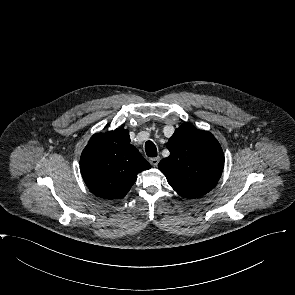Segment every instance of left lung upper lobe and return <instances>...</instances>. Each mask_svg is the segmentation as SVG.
Here are the masks:
<instances>
[{
    "label": "left lung upper lobe",
    "mask_w": 295,
    "mask_h": 295,
    "mask_svg": "<svg viewBox=\"0 0 295 295\" xmlns=\"http://www.w3.org/2000/svg\"><path fill=\"white\" fill-rule=\"evenodd\" d=\"M167 148L170 156L162 159L158 168L180 196L199 197L215 187L223 171L224 154L211 133L183 124Z\"/></svg>",
    "instance_id": "left-lung-upper-lobe-1"
}]
</instances>
